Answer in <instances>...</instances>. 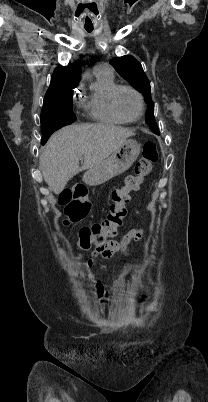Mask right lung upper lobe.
<instances>
[{"label": "right lung upper lobe", "instance_id": "cb5924a9", "mask_svg": "<svg viewBox=\"0 0 208 402\" xmlns=\"http://www.w3.org/2000/svg\"><path fill=\"white\" fill-rule=\"evenodd\" d=\"M80 79L81 75L77 63L67 66L59 65L52 74L51 83L45 96L55 92L74 89Z\"/></svg>", "mask_w": 208, "mask_h": 402}]
</instances>
